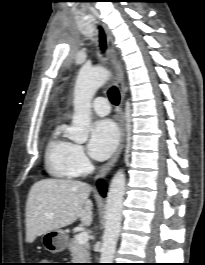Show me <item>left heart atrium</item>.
Here are the masks:
<instances>
[{
  "instance_id": "39dd6f15",
  "label": "left heart atrium",
  "mask_w": 205,
  "mask_h": 265,
  "mask_svg": "<svg viewBox=\"0 0 205 265\" xmlns=\"http://www.w3.org/2000/svg\"><path fill=\"white\" fill-rule=\"evenodd\" d=\"M118 140L119 132L115 123L109 119L99 120L91 129L89 153L97 160H104L115 150Z\"/></svg>"
}]
</instances>
